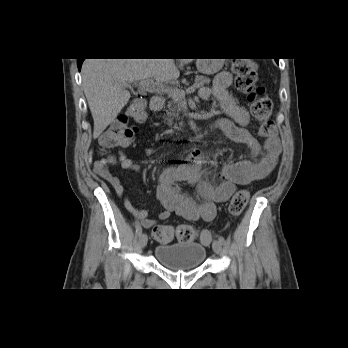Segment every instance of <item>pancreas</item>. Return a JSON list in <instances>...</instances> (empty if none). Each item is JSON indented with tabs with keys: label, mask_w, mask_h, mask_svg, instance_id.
Wrapping results in <instances>:
<instances>
[{
	"label": "pancreas",
	"mask_w": 348,
	"mask_h": 348,
	"mask_svg": "<svg viewBox=\"0 0 348 348\" xmlns=\"http://www.w3.org/2000/svg\"><path fill=\"white\" fill-rule=\"evenodd\" d=\"M210 81L211 80L206 76L196 75L194 87L195 88L204 87L205 85H209ZM169 96L171 99L168 101V104H167L166 120H167V124L169 126H172L174 124L173 123L174 119L180 120V113L182 111L181 104L183 103L184 99H182L180 101H176L171 95H169ZM179 126L183 127L182 121L179 122ZM173 128L178 129V125L174 124Z\"/></svg>",
	"instance_id": "1"
}]
</instances>
